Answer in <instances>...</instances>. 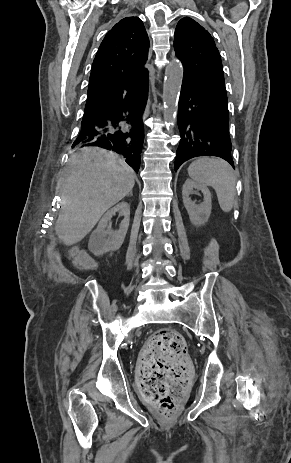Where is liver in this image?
<instances>
[{"label": "liver", "mask_w": 291, "mask_h": 463, "mask_svg": "<svg viewBox=\"0 0 291 463\" xmlns=\"http://www.w3.org/2000/svg\"><path fill=\"white\" fill-rule=\"evenodd\" d=\"M60 186L56 232L67 246L80 242L101 216L131 192L134 171L117 154L84 147L72 154Z\"/></svg>", "instance_id": "liver-1"}]
</instances>
